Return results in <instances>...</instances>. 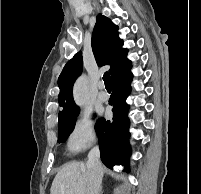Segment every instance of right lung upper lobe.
Here are the masks:
<instances>
[{
  "instance_id": "cb5924a9",
  "label": "right lung upper lobe",
  "mask_w": 201,
  "mask_h": 194,
  "mask_svg": "<svg viewBox=\"0 0 201 194\" xmlns=\"http://www.w3.org/2000/svg\"><path fill=\"white\" fill-rule=\"evenodd\" d=\"M118 26L103 16L97 15V21L92 34V50L99 66L110 65L111 80L131 66V61L127 59L128 50L122 48L123 40L119 38ZM83 67L81 51L76 53L64 66L59 78L58 86L59 105L62 111L58 114V119L67 117L79 108L75 105L72 96V88L75 80L81 74Z\"/></svg>"
}]
</instances>
